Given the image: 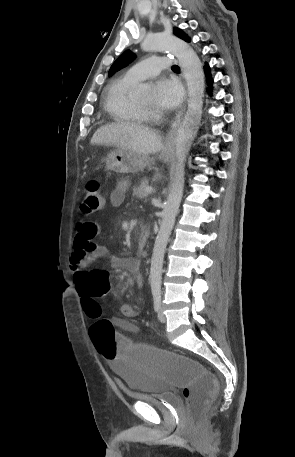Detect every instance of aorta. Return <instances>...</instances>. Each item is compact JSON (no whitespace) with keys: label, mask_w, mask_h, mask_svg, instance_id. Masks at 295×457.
<instances>
[{"label":"aorta","mask_w":295,"mask_h":457,"mask_svg":"<svg viewBox=\"0 0 295 457\" xmlns=\"http://www.w3.org/2000/svg\"><path fill=\"white\" fill-rule=\"evenodd\" d=\"M141 48L146 52L167 50L173 53L186 79L189 96L187 111L175 141L177 164L171 176L169 195L162 212V222L151 260L149 276L151 292L160 294L164 254L183 195L185 161L202 117L205 79L202 63L197 54L186 42L173 35L163 33L148 35L141 43ZM146 91L145 87L139 89L140 94H145Z\"/></svg>","instance_id":"1"}]
</instances>
